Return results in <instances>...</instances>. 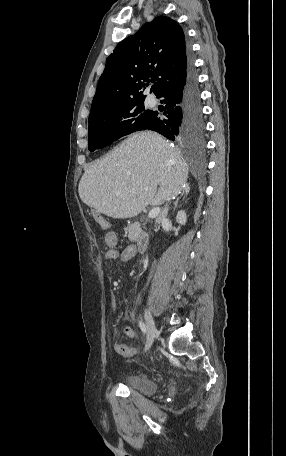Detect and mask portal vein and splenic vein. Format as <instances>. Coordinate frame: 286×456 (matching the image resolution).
Masks as SVG:
<instances>
[{
    "label": "portal vein and splenic vein",
    "mask_w": 286,
    "mask_h": 456,
    "mask_svg": "<svg viewBox=\"0 0 286 456\" xmlns=\"http://www.w3.org/2000/svg\"><path fill=\"white\" fill-rule=\"evenodd\" d=\"M160 212V208L159 207H155L153 209H151L148 213V217H155L158 213Z\"/></svg>",
    "instance_id": "18ae733b"
}]
</instances>
